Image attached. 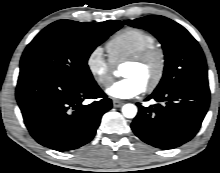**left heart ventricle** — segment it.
I'll list each match as a JSON object with an SVG mask.
<instances>
[{
  "label": "left heart ventricle",
  "mask_w": 220,
  "mask_h": 173,
  "mask_svg": "<svg viewBox=\"0 0 220 173\" xmlns=\"http://www.w3.org/2000/svg\"><path fill=\"white\" fill-rule=\"evenodd\" d=\"M156 71V63L150 62L146 65L125 64L124 77H135L146 86L153 78Z\"/></svg>",
  "instance_id": "b2bd125f"
}]
</instances>
